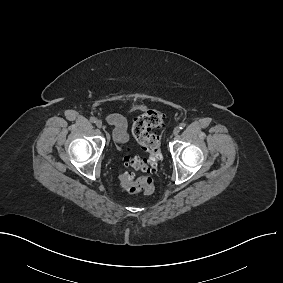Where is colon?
Returning <instances> with one entry per match:
<instances>
[{"instance_id": "5ec220e1", "label": "colon", "mask_w": 283, "mask_h": 283, "mask_svg": "<svg viewBox=\"0 0 283 283\" xmlns=\"http://www.w3.org/2000/svg\"><path fill=\"white\" fill-rule=\"evenodd\" d=\"M164 115L156 110L149 109L134 119L132 132L135 139L147 153L146 158L127 157L125 163L134 170L146 174L156 171L161 159L160 138L153 132V129L163 125ZM123 189L129 194L143 192L150 194L154 189L153 180L149 176L135 178L132 174L125 173L120 177Z\"/></svg>"}]
</instances>
